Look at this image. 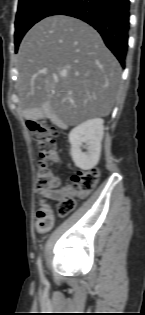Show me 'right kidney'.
Masks as SVG:
<instances>
[{
  "mask_svg": "<svg viewBox=\"0 0 145 315\" xmlns=\"http://www.w3.org/2000/svg\"><path fill=\"white\" fill-rule=\"evenodd\" d=\"M103 123L101 118L89 119L73 128L69 133L71 156L78 168L89 170L97 165L104 134ZM83 144H85L86 152H82Z\"/></svg>",
  "mask_w": 145,
  "mask_h": 315,
  "instance_id": "ca27d5eb",
  "label": "right kidney"
}]
</instances>
